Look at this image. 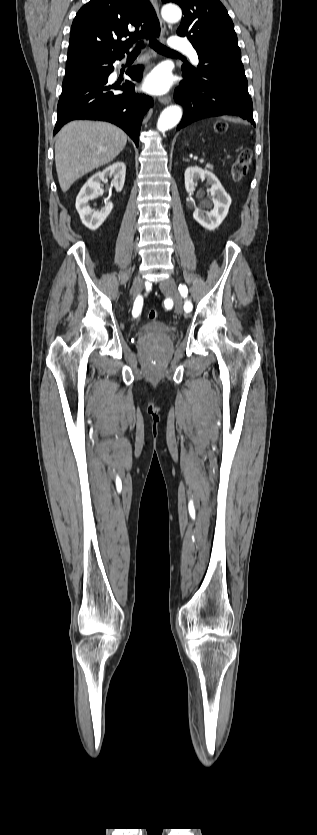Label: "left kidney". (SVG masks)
<instances>
[{"label":"left kidney","mask_w":317,"mask_h":835,"mask_svg":"<svg viewBox=\"0 0 317 835\" xmlns=\"http://www.w3.org/2000/svg\"><path fill=\"white\" fill-rule=\"evenodd\" d=\"M184 176L185 189L190 194L194 192L199 180L202 182L206 180L207 184L211 186L209 191L212 196L211 200L214 208L210 211L203 212L194 203L195 210L193 212V218L207 230L216 229L228 214L231 197L227 194L216 176L206 169L203 170L198 166H190L186 169ZM203 207L210 208L211 206L204 205Z\"/></svg>","instance_id":"obj_1"}]
</instances>
